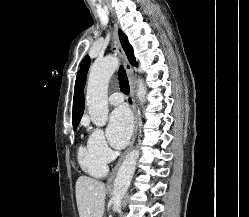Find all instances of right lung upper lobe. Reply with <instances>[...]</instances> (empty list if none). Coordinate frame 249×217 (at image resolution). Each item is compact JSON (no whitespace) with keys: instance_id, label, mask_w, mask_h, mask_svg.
<instances>
[{"instance_id":"right-lung-upper-lobe-1","label":"right lung upper lobe","mask_w":249,"mask_h":217,"mask_svg":"<svg viewBox=\"0 0 249 217\" xmlns=\"http://www.w3.org/2000/svg\"><path fill=\"white\" fill-rule=\"evenodd\" d=\"M85 82L80 74L77 75L73 100V126H77L84 112V89Z\"/></svg>"}]
</instances>
